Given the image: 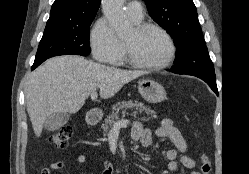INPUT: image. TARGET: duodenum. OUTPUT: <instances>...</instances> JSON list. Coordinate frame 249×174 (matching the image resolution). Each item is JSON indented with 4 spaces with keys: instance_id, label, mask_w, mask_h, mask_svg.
I'll list each match as a JSON object with an SVG mask.
<instances>
[{
    "instance_id": "obj_1",
    "label": "duodenum",
    "mask_w": 249,
    "mask_h": 174,
    "mask_svg": "<svg viewBox=\"0 0 249 174\" xmlns=\"http://www.w3.org/2000/svg\"><path fill=\"white\" fill-rule=\"evenodd\" d=\"M87 123L94 126L98 123V116L95 112H89L86 117Z\"/></svg>"
}]
</instances>
